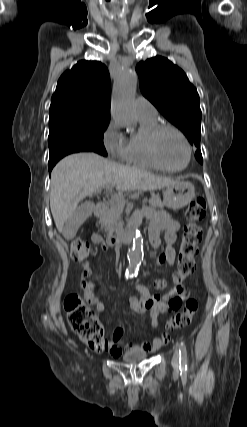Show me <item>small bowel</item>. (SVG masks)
Instances as JSON below:
<instances>
[{
  "label": "small bowel",
  "mask_w": 247,
  "mask_h": 427,
  "mask_svg": "<svg viewBox=\"0 0 247 427\" xmlns=\"http://www.w3.org/2000/svg\"><path fill=\"white\" fill-rule=\"evenodd\" d=\"M146 213L152 218L148 229L150 243L155 248L159 247L162 241L161 236L165 243V250L157 257L156 265L160 266L164 263L173 265L175 251L172 245L177 240V233L180 229L179 222L163 211H147ZM92 242L97 245L102 244L103 238L98 234H94L92 235ZM92 274L93 269L90 262H84L80 278L84 299L88 305L95 306L98 313H102L105 305L95 292V283L90 280ZM136 289L140 297H130V308L137 314H144L149 311L153 327L158 326L159 315L168 313L171 310H177L189 295L183 284L175 285L173 290L164 296L151 295L148 288L143 285H137ZM169 340V334L164 333L151 341H141L138 344L127 345L124 342V328L120 325L114 330L112 337L107 340L108 346L105 350L114 357H118L124 349H141L146 352H155L167 344Z\"/></svg>",
  "instance_id": "obj_1"
}]
</instances>
